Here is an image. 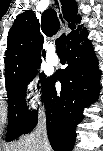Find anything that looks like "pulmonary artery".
Wrapping results in <instances>:
<instances>
[{
	"mask_svg": "<svg viewBox=\"0 0 103 151\" xmlns=\"http://www.w3.org/2000/svg\"><path fill=\"white\" fill-rule=\"evenodd\" d=\"M47 61L51 65H56L59 61L58 56L55 53V48L52 45L48 47Z\"/></svg>",
	"mask_w": 103,
	"mask_h": 151,
	"instance_id": "1",
	"label": "pulmonary artery"
}]
</instances>
